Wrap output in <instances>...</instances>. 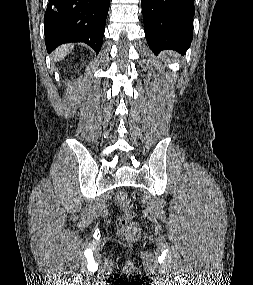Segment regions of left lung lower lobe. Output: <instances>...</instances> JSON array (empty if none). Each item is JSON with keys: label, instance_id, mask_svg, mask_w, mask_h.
Wrapping results in <instances>:
<instances>
[{"label": "left lung lower lobe", "instance_id": "left-lung-lower-lobe-1", "mask_svg": "<svg viewBox=\"0 0 253 285\" xmlns=\"http://www.w3.org/2000/svg\"><path fill=\"white\" fill-rule=\"evenodd\" d=\"M144 32L154 53H185L193 39L194 0H141Z\"/></svg>", "mask_w": 253, "mask_h": 285}]
</instances>
